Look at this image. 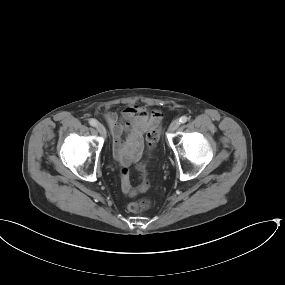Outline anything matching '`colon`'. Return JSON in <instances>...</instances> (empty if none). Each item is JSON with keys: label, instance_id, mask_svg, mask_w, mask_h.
Wrapping results in <instances>:
<instances>
[{"label": "colon", "instance_id": "5ec220e1", "mask_svg": "<svg viewBox=\"0 0 285 285\" xmlns=\"http://www.w3.org/2000/svg\"><path fill=\"white\" fill-rule=\"evenodd\" d=\"M159 137H160V132L156 128L150 130L146 134V145H147V150L149 152L155 147ZM140 171H141V185L139 186V188L145 191L149 186V182L147 179L146 171L144 169V163L140 165ZM121 181H122V188L124 190H129L130 189L129 171L126 167L122 168L121 170ZM150 206H151V201L149 199H140L137 201L130 202L127 205V210L133 214H140L148 210Z\"/></svg>", "mask_w": 285, "mask_h": 285}]
</instances>
